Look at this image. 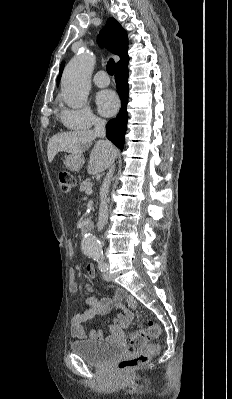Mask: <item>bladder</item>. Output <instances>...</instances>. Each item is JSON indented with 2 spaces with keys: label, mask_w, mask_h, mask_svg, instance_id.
I'll return each mask as SVG.
<instances>
[{
  "label": "bladder",
  "mask_w": 232,
  "mask_h": 399,
  "mask_svg": "<svg viewBox=\"0 0 232 399\" xmlns=\"http://www.w3.org/2000/svg\"><path fill=\"white\" fill-rule=\"evenodd\" d=\"M69 347L72 353L92 365H102L123 352L121 344L101 340L73 341Z\"/></svg>",
  "instance_id": "obj_1"
}]
</instances>
